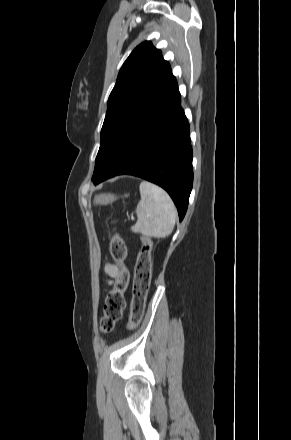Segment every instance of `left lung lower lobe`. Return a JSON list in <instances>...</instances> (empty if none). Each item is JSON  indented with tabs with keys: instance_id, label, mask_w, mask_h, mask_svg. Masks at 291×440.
Returning <instances> with one entry per match:
<instances>
[{
	"instance_id": "obj_1",
	"label": "left lung lower lobe",
	"mask_w": 291,
	"mask_h": 440,
	"mask_svg": "<svg viewBox=\"0 0 291 440\" xmlns=\"http://www.w3.org/2000/svg\"><path fill=\"white\" fill-rule=\"evenodd\" d=\"M180 103L173 77L126 129L92 177L93 183L122 174L151 181L169 193L181 221L188 206L193 170L189 124Z\"/></svg>"
}]
</instances>
